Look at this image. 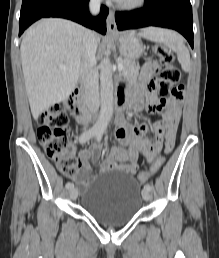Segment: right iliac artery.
<instances>
[{"mask_svg": "<svg viewBox=\"0 0 219 258\" xmlns=\"http://www.w3.org/2000/svg\"><path fill=\"white\" fill-rule=\"evenodd\" d=\"M98 132L97 129H90L84 133L81 134L80 138H79V141L80 143H85L86 141H88L89 139H91L92 137H94L96 135V133ZM73 187V183L71 182H67L66 184V188L67 189H70Z\"/></svg>", "mask_w": 219, "mask_h": 258, "instance_id": "1", "label": "right iliac artery"}]
</instances>
